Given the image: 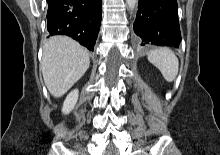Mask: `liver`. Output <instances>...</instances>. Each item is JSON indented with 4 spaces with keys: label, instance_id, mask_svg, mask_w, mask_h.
<instances>
[{
    "label": "liver",
    "instance_id": "1",
    "mask_svg": "<svg viewBox=\"0 0 220 155\" xmlns=\"http://www.w3.org/2000/svg\"><path fill=\"white\" fill-rule=\"evenodd\" d=\"M89 52L66 36H53L43 46L41 70L49 92L63 96L87 71Z\"/></svg>",
    "mask_w": 220,
    "mask_h": 155
}]
</instances>
